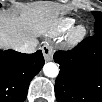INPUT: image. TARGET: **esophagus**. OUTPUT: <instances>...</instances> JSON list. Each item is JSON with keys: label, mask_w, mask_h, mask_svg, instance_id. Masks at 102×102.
I'll return each mask as SVG.
<instances>
[{"label": "esophagus", "mask_w": 102, "mask_h": 102, "mask_svg": "<svg viewBox=\"0 0 102 102\" xmlns=\"http://www.w3.org/2000/svg\"><path fill=\"white\" fill-rule=\"evenodd\" d=\"M42 53L43 56L45 58V61H52L53 60V56H54V50L52 48V46H50L49 44L44 45L42 48Z\"/></svg>", "instance_id": "esophagus-1"}]
</instances>
